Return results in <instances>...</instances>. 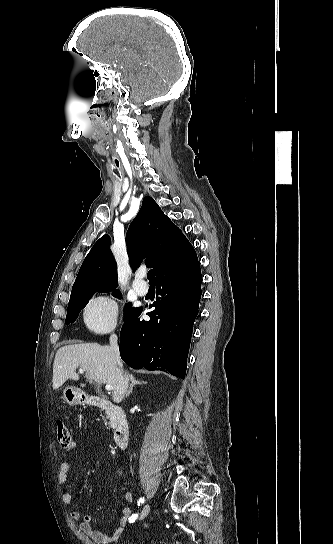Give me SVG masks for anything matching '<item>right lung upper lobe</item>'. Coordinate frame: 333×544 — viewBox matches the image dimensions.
Instances as JSON below:
<instances>
[{
  "instance_id": "cb5924a9",
  "label": "right lung upper lobe",
  "mask_w": 333,
  "mask_h": 544,
  "mask_svg": "<svg viewBox=\"0 0 333 544\" xmlns=\"http://www.w3.org/2000/svg\"><path fill=\"white\" fill-rule=\"evenodd\" d=\"M110 237L102 236L81 265L72 287L75 297L93 290H116L117 266L109 248ZM130 264L135 270L145 258L154 268L156 280L166 274L191 267L198 262L189 241L156 202L147 196L126 235Z\"/></svg>"
}]
</instances>
